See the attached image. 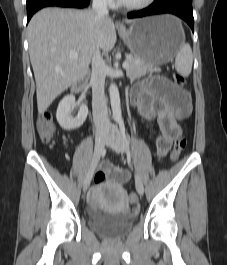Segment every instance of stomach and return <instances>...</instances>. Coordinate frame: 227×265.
<instances>
[{
	"label": "stomach",
	"mask_w": 227,
	"mask_h": 265,
	"mask_svg": "<svg viewBox=\"0 0 227 265\" xmlns=\"http://www.w3.org/2000/svg\"><path fill=\"white\" fill-rule=\"evenodd\" d=\"M119 34L134 57L153 66L172 60L185 39L180 20L169 14L138 19Z\"/></svg>",
	"instance_id": "1"
}]
</instances>
